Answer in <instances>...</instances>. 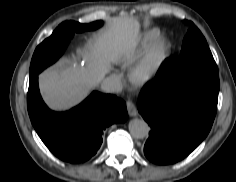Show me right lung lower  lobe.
Wrapping results in <instances>:
<instances>
[{"label":"right lung lower lobe","mask_w":236,"mask_h":182,"mask_svg":"<svg viewBox=\"0 0 236 182\" xmlns=\"http://www.w3.org/2000/svg\"><path fill=\"white\" fill-rule=\"evenodd\" d=\"M27 106L43 143L59 159L70 163L85 162L94 156L103 141L104 130L128 117L123 100L99 92H93L70 111H51L40 96L38 74L30 75Z\"/></svg>","instance_id":"1"}]
</instances>
